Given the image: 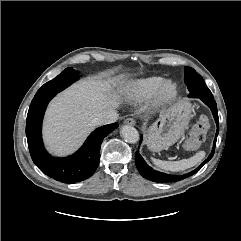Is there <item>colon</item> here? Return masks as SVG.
Segmentation results:
<instances>
[{"label": "colon", "instance_id": "obj_1", "mask_svg": "<svg viewBox=\"0 0 241 241\" xmlns=\"http://www.w3.org/2000/svg\"><path fill=\"white\" fill-rule=\"evenodd\" d=\"M210 122L207 116H201L192 127L188 138L185 141V147L188 150H196L203 143L208 132Z\"/></svg>", "mask_w": 241, "mask_h": 241}]
</instances>
